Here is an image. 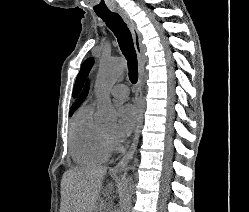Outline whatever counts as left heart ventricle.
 Instances as JSON below:
<instances>
[{
  "instance_id": "b2bd125f",
  "label": "left heart ventricle",
  "mask_w": 249,
  "mask_h": 212,
  "mask_svg": "<svg viewBox=\"0 0 249 212\" xmlns=\"http://www.w3.org/2000/svg\"><path fill=\"white\" fill-rule=\"evenodd\" d=\"M110 131H106L105 133H109Z\"/></svg>"
}]
</instances>
